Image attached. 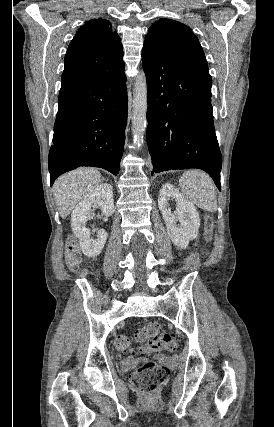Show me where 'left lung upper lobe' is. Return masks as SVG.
Here are the masks:
<instances>
[{"instance_id":"1","label":"left lung upper lobe","mask_w":274,"mask_h":427,"mask_svg":"<svg viewBox=\"0 0 274 427\" xmlns=\"http://www.w3.org/2000/svg\"><path fill=\"white\" fill-rule=\"evenodd\" d=\"M148 31L145 42L159 48L165 55L181 64L209 73L198 38L188 26L161 18Z\"/></svg>"}]
</instances>
